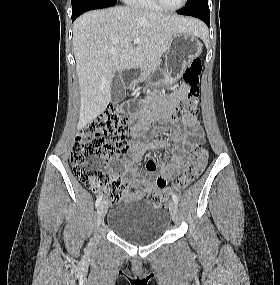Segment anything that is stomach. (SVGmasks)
Returning <instances> with one entry per match:
<instances>
[{"label": "stomach", "instance_id": "stomach-1", "mask_svg": "<svg viewBox=\"0 0 280 285\" xmlns=\"http://www.w3.org/2000/svg\"><path fill=\"white\" fill-rule=\"evenodd\" d=\"M202 52V43L189 32L176 34L166 51L165 73L172 81H177L188 63Z\"/></svg>", "mask_w": 280, "mask_h": 285}]
</instances>
